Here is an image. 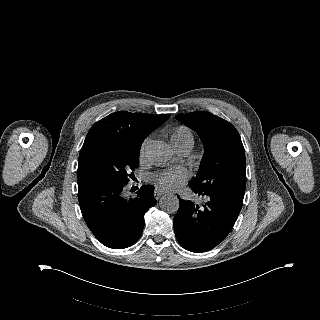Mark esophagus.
Here are the masks:
<instances>
[{"mask_svg": "<svg viewBox=\"0 0 320 320\" xmlns=\"http://www.w3.org/2000/svg\"><path fill=\"white\" fill-rule=\"evenodd\" d=\"M164 194H166V191H164L163 189H160V188H156L155 191H154V197L156 199H159Z\"/></svg>", "mask_w": 320, "mask_h": 320, "instance_id": "34e87169", "label": "esophagus"}]
</instances>
